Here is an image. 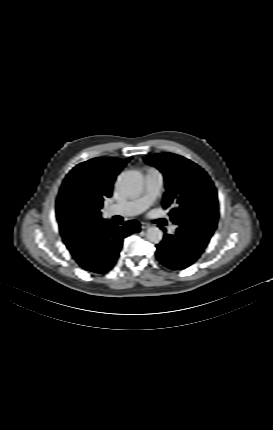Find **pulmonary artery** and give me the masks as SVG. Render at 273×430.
I'll use <instances>...</instances> for the list:
<instances>
[{
  "instance_id": "obj_1",
  "label": "pulmonary artery",
  "mask_w": 273,
  "mask_h": 430,
  "mask_svg": "<svg viewBox=\"0 0 273 430\" xmlns=\"http://www.w3.org/2000/svg\"><path fill=\"white\" fill-rule=\"evenodd\" d=\"M145 190L137 198L130 201L116 203L106 208L108 216H135L146 210L160 195L163 188V175L156 169H151L147 172L145 177ZM175 226H171L170 233H174Z\"/></svg>"
}]
</instances>
